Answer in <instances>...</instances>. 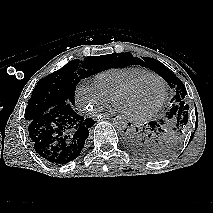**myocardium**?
Segmentation results:
<instances>
[{
    "mask_svg": "<svg viewBox=\"0 0 213 213\" xmlns=\"http://www.w3.org/2000/svg\"><path fill=\"white\" fill-rule=\"evenodd\" d=\"M148 77H154V78H157L158 80H160V82L163 85V97H162L161 101L153 109L149 110L146 113H143L140 115H132V114L124 113L131 120L142 121V120H146V119L153 117L154 115H156L159 112V110L162 108V106L164 105V103L167 99L168 86H167L165 79L157 73L148 72V73L142 74V75L134 78L133 80L128 82L126 85L121 87L113 96L114 103L117 104V100L122 95H124L125 93H127L130 90H132L133 88H135L141 81H143L145 78H148Z\"/></svg>",
    "mask_w": 213,
    "mask_h": 213,
    "instance_id": "f54148a6",
    "label": "myocardium"
}]
</instances>
